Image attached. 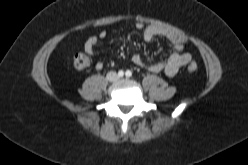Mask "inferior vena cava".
Listing matches in <instances>:
<instances>
[{
  "label": "inferior vena cava",
  "mask_w": 248,
  "mask_h": 165,
  "mask_svg": "<svg viewBox=\"0 0 248 165\" xmlns=\"http://www.w3.org/2000/svg\"><path fill=\"white\" fill-rule=\"evenodd\" d=\"M108 78L109 80L114 81L118 78V76L115 72H112V73H108Z\"/></svg>",
  "instance_id": "obj_1"
}]
</instances>
